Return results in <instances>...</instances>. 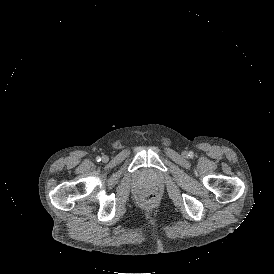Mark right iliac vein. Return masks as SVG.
I'll return each mask as SVG.
<instances>
[{
	"instance_id": "obj_1",
	"label": "right iliac vein",
	"mask_w": 274,
	"mask_h": 274,
	"mask_svg": "<svg viewBox=\"0 0 274 274\" xmlns=\"http://www.w3.org/2000/svg\"><path fill=\"white\" fill-rule=\"evenodd\" d=\"M102 159H103V160H107V156H103Z\"/></svg>"
}]
</instances>
